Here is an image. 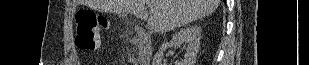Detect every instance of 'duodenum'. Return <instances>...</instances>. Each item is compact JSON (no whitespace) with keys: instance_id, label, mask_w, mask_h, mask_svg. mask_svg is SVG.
<instances>
[{"instance_id":"1","label":"duodenum","mask_w":309,"mask_h":65,"mask_svg":"<svg viewBox=\"0 0 309 65\" xmlns=\"http://www.w3.org/2000/svg\"><path fill=\"white\" fill-rule=\"evenodd\" d=\"M134 40L138 47L137 65H150L152 59V39L146 31H136Z\"/></svg>"}]
</instances>
